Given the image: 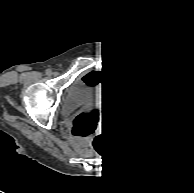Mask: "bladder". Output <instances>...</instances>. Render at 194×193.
Segmentation results:
<instances>
[{
  "label": "bladder",
  "instance_id": "1",
  "mask_svg": "<svg viewBox=\"0 0 194 193\" xmlns=\"http://www.w3.org/2000/svg\"><path fill=\"white\" fill-rule=\"evenodd\" d=\"M69 93H70L72 101H76L78 96H79V89L75 88V89L71 90Z\"/></svg>",
  "mask_w": 194,
  "mask_h": 193
}]
</instances>
